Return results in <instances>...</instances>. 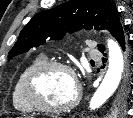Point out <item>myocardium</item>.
Listing matches in <instances>:
<instances>
[{"instance_id":"myocardium-1","label":"myocardium","mask_w":133,"mask_h":118,"mask_svg":"<svg viewBox=\"0 0 133 118\" xmlns=\"http://www.w3.org/2000/svg\"><path fill=\"white\" fill-rule=\"evenodd\" d=\"M55 69L67 71L72 76L75 83L74 98L68 104L62 106H49L41 100L38 94V87L41 78L47 72ZM24 93L26 100L35 110L46 113L68 112L72 110L79 103L81 98V90L77 82L75 71L70 65L60 61L45 62L42 65L35 68L33 71H31L24 83Z\"/></svg>"}]
</instances>
